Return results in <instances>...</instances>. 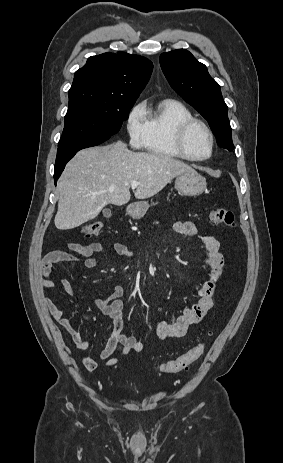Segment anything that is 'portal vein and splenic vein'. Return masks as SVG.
<instances>
[{"mask_svg":"<svg viewBox=\"0 0 283 463\" xmlns=\"http://www.w3.org/2000/svg\"><path fill=\"white\" fill-rule=\"evenodd\" d=\"M140 185V182L138 181H132L131 182V188L134 190Z\"/></svg>","mask_w":283,"mask_h":463,"instance_id":"18ae733b","label":"portal vein and splenic vein"}]
</instances>
